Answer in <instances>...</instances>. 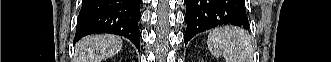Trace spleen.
Instances as JSON below:
<instances>
[{"label": "spleen", "mask_w": 331, "mask_h": 62, "mask_svg": "<svg viewBox=\"0 0 331 62\" xmlns=\"http://www.w3.org/2000/svg\"><path fill=\"white\" fill-rule=\"evenodd\" d=\"M207 44L212 55H223L226 62H251L253 49L248 35L237 27L217 28L210 32Z\"/></svg>", "instance_id": "spleen-1"}]
</instances>
